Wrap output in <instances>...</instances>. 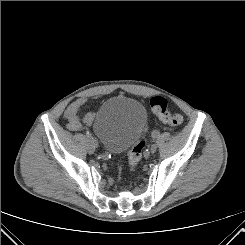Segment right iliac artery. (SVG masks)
Segmentation results:
<instances>
[{
	"instance_id": "82829eb1",
	"label": "right iliac artery",
	"mask_w": 245,
	"mask_h": 245,
	"mask_svg": "<svg viewBox=\"0 0 245 245\" xmlns=\"http://www.w3.org/2000/svg\"><path fill=\"white\" fill-rule=\"evenodd\" d=\"M86 136L94 144L96 149L101 147V144L96 139H94L88 131H86Z\"/></svg>"
}]
</instances>
